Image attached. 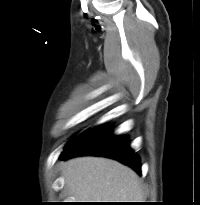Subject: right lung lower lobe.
I'll return each instance as SVG.
<instances>
[{
    "mask_svg": "<svg viewBox=\"0 0 200 205\" xmlns=\"http://www.w3.org/2000/svg\"><path fill=\"white\" fill-rule=\"evenodd\" d=\"M79 155H96L116 159L119 162L141 173L140 160L130 149L128 139L123 136H114L110 129L97 126L83 132L61 153L59 159L66 160Z\"/></svg>",
    "mask_w": 200,
    "mask_h": 205,
    "instance_id": "obj_1",
    "label": "right lung lower lobe"
}]
</instances>
